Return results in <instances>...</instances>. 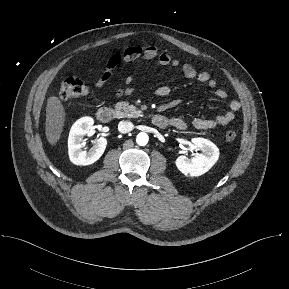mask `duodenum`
Segmentation results:
<instances>
[{"mask_svg":"<svg viewBox=\"0 0 289 289\" xmlns=\"http://www.w3.org/2000/svg\"><path fill=\"white\" fill-rule=\"evenodd\" d=\"M96 116L101 123H108L114 118L115 111L111 107L104 106L98 109ZM151 122L159 128H166L170 124L169 119L161 114L153 115Z\"/></svg>","mask_w":289,"mask_h":289,"instance_id":"duodenum-1","label":"duodenum"}]
</instances>
